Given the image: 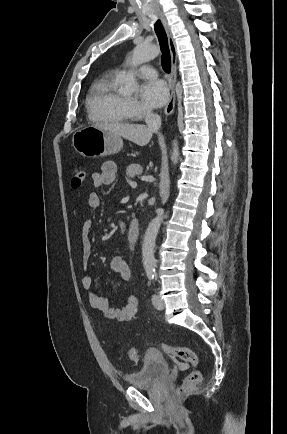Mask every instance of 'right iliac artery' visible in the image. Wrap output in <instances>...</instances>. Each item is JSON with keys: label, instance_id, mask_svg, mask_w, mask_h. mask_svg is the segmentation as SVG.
<instances>
[{"label": "right iliac artery", "instance_id": "1", "mask_svg": "<svg viewBox=\"0 0 287 434\" xmlns=\"http://www.w3.org/2000/svg\"><path fill=\"white\" fill-rule=\"evenodd\" d=\"M147 276H148V278L150 279V280H154V278H155V273L154 272H150V273H148L147 274Z\"/></svg>", "mask_w": 287, "mask_h": 434}]
</instances>
